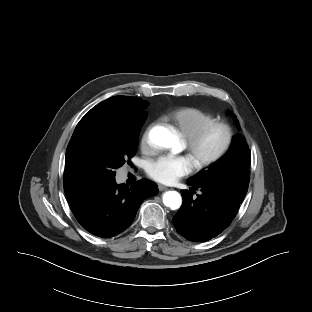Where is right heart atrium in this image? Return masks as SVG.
Masks as SVG:
<instances>
[{"label":"right heart atrium","mask_w":312,"mask_h":312,"mask_svg":"<svg viewBox=\"0 0 312 312\" xmlns=\"http://www.w3.org/2000/svg\"><path fill=\"white\" fill-rule=\"evenodd\" d=\"M149 130H150V127H148L145 132L143 133L142 135V138H141V148L148 152L150 151V145H149Z\"/></svg>","instance_id":"1"}]
</instances>
